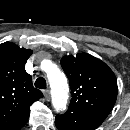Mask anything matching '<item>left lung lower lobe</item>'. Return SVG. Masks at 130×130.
Wrapping results in <instances>:
<instances>
[{
    "mask_svg": "<svg viewBox=\"0 0 130 130\" xmlns=\"http://www.w3.org/2000/svg\"><path fill=\"white\" fill-rule=\"evenodd\" d=\"M104 120L86 111L69 107L63 115H57L58 130H95Z\"/></svg>",
    "mask_w": 130,
    "mask_h": 130,
    "instance_id": "0a47b994",
    "label": "left lung lower lobe"
}]
</instances>
